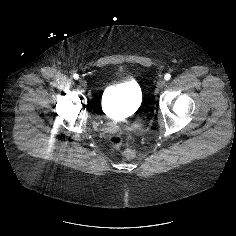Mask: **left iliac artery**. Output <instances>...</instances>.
Instances as JSON below:
<instances>
[{"instance_id": "left-iliac-artery-1", "label": "left iliac artery", "mask_w": 236, "mask_h": 236, "mask_svg": "<svg viewBox=\"0 0 236 236\" xmlns=\"http://www.w3.org/2000/svg\"><path fill=\"white\" fill-rule=\"evenodd\" d=\"M171 78V75L169 73L165 74L164 79L169 80Z\"/></svg>"}]
</instances>
